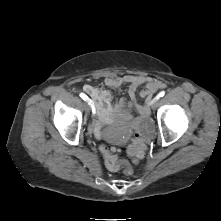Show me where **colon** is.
I'll return each mask as SVG.
<instances>
[{
  "label": "colon",
  "instance_id": "5ec220e1",
  "mask_svg": "<svg viewBox=\"0 0 221 221\" xmlns=\"http://www.w3.org/2000/svg\"><path fill=\"white\" fill-rule=\"evenodd\" d=\"M99 149L104 156L105 163L108 169L115 171L122 167L125 175L130 176L133 174V168L128 162L120 163L118 161V153L116 149L109 148L106 145H101ZM146 151V142L142 138L136 137V139L129 146L127 153L132 162L137 163L140 159L144 157Z\"/></svg>",
  "mask_w": 221,
  "mask_h": 221
}]
</instances>
